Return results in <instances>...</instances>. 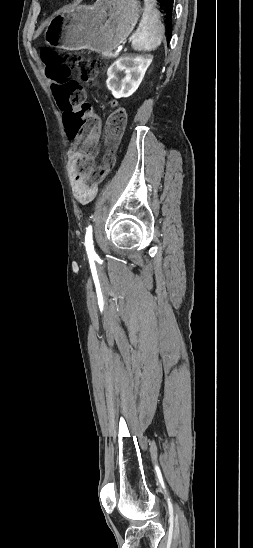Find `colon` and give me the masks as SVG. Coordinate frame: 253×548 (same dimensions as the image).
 <instances>
[{
    "mask_svg": "<svg viewBox=\"0 0 253 548\" xmlns=\"http://www.w3.org/2000/svg\"><path fill=\"white\" fill-rule=\"evenodd\" d=\"M41 58L44 62V74H47V81L50 83V95L56 99L64 115L65 136L82 137L79 154L75 161V172L85 176L90 183H101L114 165V151L126 126V110L115 102L111 104L105 123L107 153L103 163L97 166L94 158L102 129L101 118L85 102L84 90L75 82V77L71 76L70 70L77 72L83 84L94 85L104 64L78 52L60 54L51 49L43 50Z\"/></svg>",
    "mask_w": 253,
    "mask_h": 548,
    "instance_id": "5ec220e1",
    "label": "colon"
}]
</instances>
